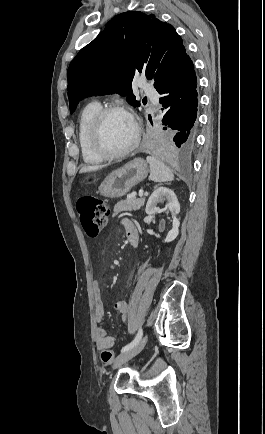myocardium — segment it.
Listing matches in <instances>:
<instances>
[{"mask_svg":"<svg viewBox=\"0 0 265 434\" xmlns=\"http://www.w3.org/2000/svg\"><path fill=\"white\" fill-rule=\"evenodd\" d=\"M114 113H124L130 116V114L125 108L121 106L110 105V106L102 107L100 109L93 123L92 141L94 147L96 148L98 153L106 160H118L129 156L139 147L141 141L140 128L134 122L135 129H136V136L133 144L129 148L120 152H114L107 147L104 140L105 123L108 117Z\"/></svg>","mask_w":265,"mask_h":434,"instance_id":"obj_1","label":"myocardium"}]
</instances>
